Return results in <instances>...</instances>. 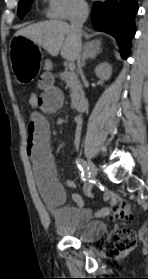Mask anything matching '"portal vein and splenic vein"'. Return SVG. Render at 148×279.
<instances>
[{"label": "portal vein and splenic vein", "instance_id": "18ae733b", "mask_svg": "<svg viewBox=\"0 0 148 279\" xmlns=\"http://www.w3.org/2000/svg\"><path fill=\"white\" fill-rule=\"evenodd\" d=\"M68 67H69V70H70V71H74V69H75V64H74L73 62H70L69 65H68Z\"/></svg>", "mask_w": 148, "mask_h": 279}]
</instances>
